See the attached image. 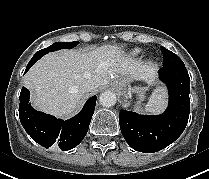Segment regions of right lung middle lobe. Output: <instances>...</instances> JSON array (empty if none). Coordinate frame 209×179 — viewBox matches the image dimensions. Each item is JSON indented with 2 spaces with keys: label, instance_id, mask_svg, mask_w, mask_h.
<instances>
[{
  "label": "right lung middle lobe",
  "instance_id": "obj_1",
  "mask_svg": "<svg viewBox=\"0 0 209 179\" xmlns=\"http://www.w3.org/2000/svg\"><path fill=\"white\" fill-rule=\"evenodd\" d=\"M79 42H56L53 45L42 49L40 51H38L33 58L35 59L36 57H42L43 55L52 52V51H56V50H60V49H71L73 47H75Z\"/></svg>",
  "mask_w": 209,
  "mask_h": 179
}]
</instances>
